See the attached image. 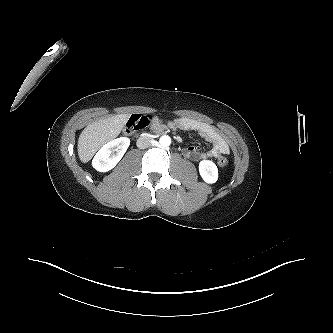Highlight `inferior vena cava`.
<instances>
[{
    "label": "inferior vena cava",
    "instance_id": "1",
    "mask_svg": "<svg viewBox=\"0 0 333 333\" xmlns=\"http://www.w3.org/2000/svg\"><path fill=\"white\" fill-rule=\"evenodd\" d=\"M152 139L148 136H141L137 139V147L140 149H145L151 146Z\"/></svg>",
    "mask_w": 333,
    "mask_h": 333
}]
</instances>
